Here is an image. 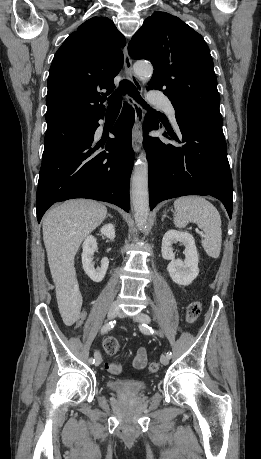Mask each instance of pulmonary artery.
I'll return each mask as SVG.
<instances>
[{"mask_svg": "<svg viewBox=\"0 0 261 459\" xmlns=\"http://www.w3.org/2000/svg\"><path fill=\"white\" fill-rule=\"evenodd\" d=\"M150 100L154 105L163 108L172 122H176L175 109L168 99L158 95H152Z\"/></svg>", "mask_w": 261, "mask_h": 459, "instance_id": "pulmonary-artery-1", "label": "pulmonary artery"}]
</instances>
